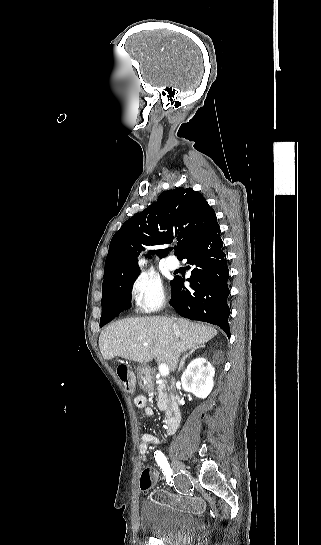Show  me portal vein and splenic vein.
<instances>
[{"label":"portal vein and splenic vein","instance_id":"1","mask_svg":"<svg viewBox=\"0 0 321 545\" xmlns=\"http://www.w3.org/2000/svg\"><path fill=\"white\" fill-rule=\"evenodd\" d=\"M147 345L148 343H144V347H147ZM159 373L161 377H167V375H169V369L167 365H164V363H161V365H159Z\"/></svg>","mask_w":321,"mask_h":545}]
</instances>
